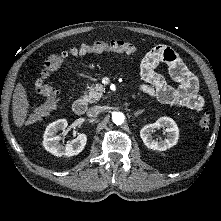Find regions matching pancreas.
Wrapping results in <instances>:
<instances>
[{"instance_id": "obj_1", "label": "pancreas", "mask_w": 221, "mask_h": 221, "mask_svg": "<svg viewBox=\"0 0 221 221\" xmlns=\"http://www.w3.org/2000/svg\"><path fill=\"white\" fill-rule=\"evenodd\" d=\"M103 85L100 83L92 84L89 87V90L85 92L84 100L90 103H93L95 101H98L104 92Z\"/></svg>"}]
</instances>
